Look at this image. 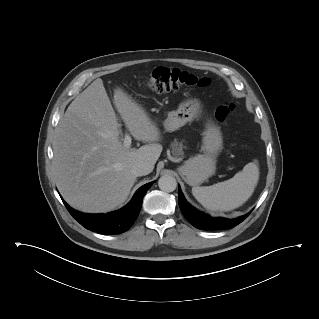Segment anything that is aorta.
Returning a JSON list of instances; mask_svg holds the SVG:
<instances>
[{"mask_svg":"<svg viewBox=\"0 0 319 319\" xmlns=\"http://www.w3.org/2000/svg\"><path fill=\"white\" fill-rule=\"evenodd\" d=\"M158 186L164 192H172L177 187V181L171 175H163L158 181Z\"/></svg>","mask_w":319,"mask_h":319,"instance_id":"obj_1","label":"aorta"}]
</instances>
